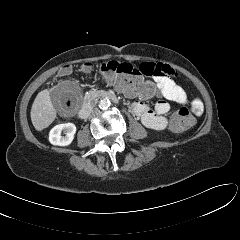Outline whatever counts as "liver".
Wrapping results in <instances>:
<instances>
[{
	"label": "liver",
	"instance_id": "obj_1",
	"mask_svg": "<svg viewBox=\"0 0 240 240\" xmlns=\"http://www.w3.org/2000/svg\"><path fill=\"white\" fill-rule=\"evenodd\" d=\"M30 114L32 124L37 131L47 128L55 120L56 110L47 89L38 93L32 104Z\"/></svg>",
	"mask_w": 240,
	"mask_h": 240
}]
</instances>
